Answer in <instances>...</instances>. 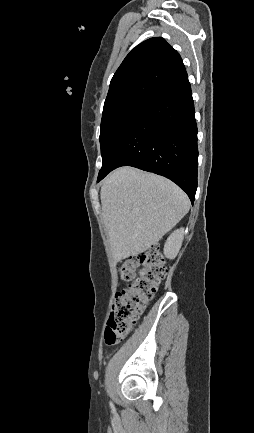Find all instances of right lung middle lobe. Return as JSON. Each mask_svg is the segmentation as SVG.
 Masks as SVG:
<instances>
[{"label":"right lung middle lobe","instance_id":"dd1d6c3e","mask_svg":"<svg viewBox=\"0 0 254 433\" xmlns=\"http://www.w3.org/2000/svg\"><path fill=\"white\" fill-rule=\"evenodd\" d=\"M146 101L143 99L124 100L103 109L100 131L102 168L120 133Z\"/></svg>","mask_w":254,"mask_h":433}]
</instances>
